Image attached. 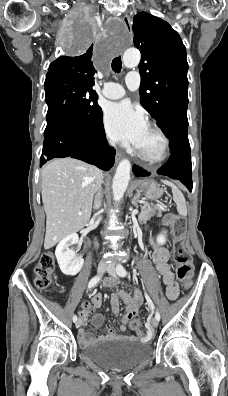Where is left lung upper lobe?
<instances>
[{"label": "left lung upper lobe", "instance_id": "5c2ea615", "mask_svg": "<svg viewBox=\"0 0 228 396\" xmlns=\"http://www.w3.org/2000/svg\"><path fill=\"white\" fill-rule=\"evenodd\" d=\"M133 32L134 45L142 54L141 104L160 127L169 111L188 105L186 48L166 21L146 12L134 17Z\"/></svg>", "mask_w": 228, "mask_h": 396}]
</instances>
